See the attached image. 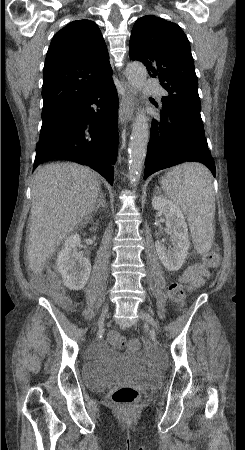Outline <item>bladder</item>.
<instances>
[{
    "label": "bladder",
    "instance_id": "31cf9c89",
    "mask_svg": "<svg viewBox=\"0 0 245 450\" xmlns=\"http://www.w3.org/2000/svg\"><path fill=\"white\" fill-rule=\"evenodd\" d=\"M84 384L92 391L101 393L121 384L154 385L156 374L134 356H116L114 358L93 359L81 366Z\"/></svg>",
    "mask_w": 245,
    "mask_h": 450
}]
</instances>
